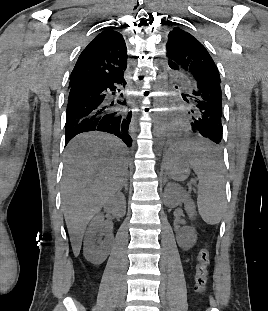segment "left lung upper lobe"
Wrapping results in <instances>:
<instances>
[{"instance_id":"left-lung-upper-lobe-1","label":"left lung upper lobe","mask_w":268,"mask_h":311,"mask_svg":"<svg viewBox=\"0 0 268 311\" xmlns=\"http://www.w3.org/2000/svg\"><path fill=\"white\" fill-rule=\"evenodd\" d=\"M168 65L185 74L205 72L221 83L218 68L206 48L190 33L173 28L166 43Z\"/></svg>"}]
</instances>
